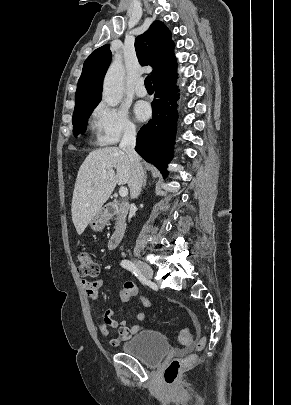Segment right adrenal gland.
<instances>
[{
	"label": "right adrenal gland",
	"instance_id": "right-adrenal-gland-1",
	"mask_svg": "<svg viewBox=\"0 0 291 405\" xmlns=\"http://www.w3.org/2000/svg\"><path fill=\"white\" fill-rule=\"evenodd\" d=\"M146 178H147V176H146V174H145V176H144V181H143V188H145V186H146Z\"/></svg>",
	"mask_w": 291,
	"mask_h": 405
}]
</instances>
